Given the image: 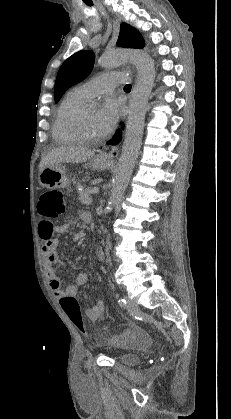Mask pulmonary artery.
Instances as JSON below:
<instances>
[{"mask_svg": "<svg viewBox=\"0 0 231 419\" xmlns=\"http://www.w3.org/2000/svg\"><path fill=\"white\" fill-rule=\"evenodd\" d=\"M126 81V75L119 72L103 73L94 79L81 84L78 89L89 99L104 93H109Z\"/></svg>", "mask_w": 231, "mask_h": 419, "instance_id": "e3ab8cb5", "label": "pulmonary artery"}]
</instances>
